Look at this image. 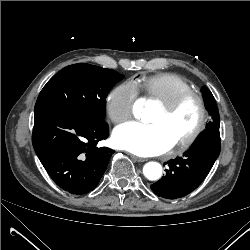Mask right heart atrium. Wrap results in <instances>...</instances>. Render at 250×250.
<instances>
[{"label":"right heart atrium","instance_id":"d8ad5b80","mask_svg":"<svg viewBox=\"0 0 250 250\" xmlns=\"http://www.w3.org/2000/svg\"><path fill=\"white\" fill-rule=\"evenodd\" d=\"M137 95L136 86L127 82L116 85L108 92L105 98V108L113 123H122L133 115Z\"/></svg>","mask_w":250,"mask_h":250}]
</instances>
